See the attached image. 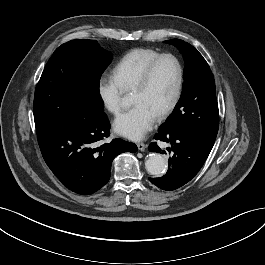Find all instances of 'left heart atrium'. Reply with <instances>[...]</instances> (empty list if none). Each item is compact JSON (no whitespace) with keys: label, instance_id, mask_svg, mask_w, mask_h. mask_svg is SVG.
Listing matches in <instances>:
<instances>
[{"label":"left heart atrium","instance_id":"39dd6f15","mask_svg":"<svg viewBox=\"0 0 265 265\" xmlns=\"http://www.w3.org/2000/svg\"><path fill=\"white\" fill-rule=\"evenodd\" d=\"M156 119L157 116L146 106L135 104L115 119L113 128L128 139L140 140L154 126Z\"/></svg>","mask_w":265,"mask_h":265}]
</instances>
